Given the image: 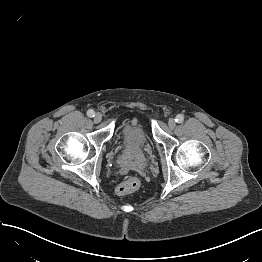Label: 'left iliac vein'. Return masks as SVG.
<instances>
[{
  "mask_svg": "<svg viewBox=\"0 0 262 262\" xmlns=\"http://www.w3.org/2000/svg\"><path fill=\"white\" fill-rule=\"evenodd\" d=\"M168 126H169L170 129L175 128V126H176V122H175V120L172 119V118L169 119V121H168Z\"/></svg>",
  "mask_w": 262,
  "mask_h": 262,
  "instance_id": "obj_1",
  "label": "left iliac vein"
}]
</instances>
